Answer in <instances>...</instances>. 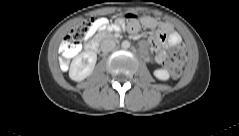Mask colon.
Masks as SVG:
<instances>
[{
	"instance_id": "colon-1",
	"label": "colon",
	"mask_w": 239,
	"mask_h": 136,
	"mask_svg": "<svg viewBox=\"0 0 239 136\" xmlns=\"http://www.w3.org/2000/svg\"><path fill=\"white\" fill-rule=\"evenodd\" d=\"M95 19H86L73 28L70 34L63 40L60 53L61 64L65 66L69 59L78 51L79 43L85 39L94 29ZM186 59V50L183 45H176L169 50L165 66L173 77H179Z\"/></svg>"
}]
</instances>
